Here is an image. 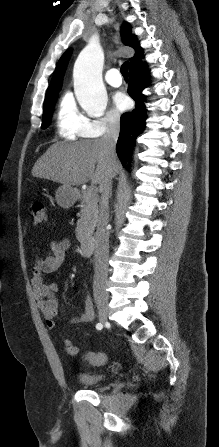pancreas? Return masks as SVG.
<instances>
[{
    "mask_svg": "<svg viewBox=\"0 0 219 447\" xmlns=\"http://www.w3.org/2000/svg\"><path fill=\"white\" fill-rule=\"evenodd\" d=\"M98 196H89L88 191H83L81 196V214L77 221L76 238L80 242L89 239L94 231L98 219Z\"/></svg>",
    "mask_w": 219,
    "mask_h": 447,
    "instance_id": "1",
    "label": "pancreas"
}]
</instances>
